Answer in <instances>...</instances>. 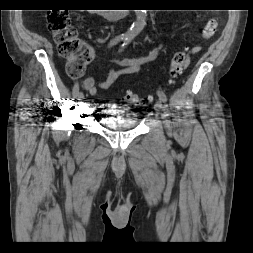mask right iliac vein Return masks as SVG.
Listing matches in <instances>:
<instances>
[{
  "instance_id": "1",
  "label": "right iliac vein",
  "mask_w": 253,
  "mask_h": 253,
  "mask_svg": "<svg viewBox=\"0 0 253 253\" xmlns=\"http://www.w3.org/2000/svg\"><path fill=\"white\" fill-rule=\"evenodd\" d=\"M83 99H84V95L82 92H80L76 98V110H79V108L81 107L82 103H83Z\"/></svg>"
}]
</instances>
